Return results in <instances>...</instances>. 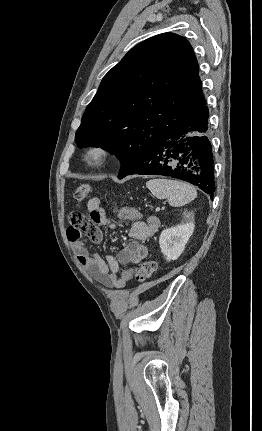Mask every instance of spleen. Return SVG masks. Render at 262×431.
Instances as JSON below:
<instances>
[{
	"instance_id": "spleen-1",
	"label": "spleen",
	"mask_w": 262,
	"mask_h": 431,
	"mask_svg": "<svg viewBox=\"0 0 262 431\" xmlns=\"http://www.w3.org/2000/svg\"><path fill=\"white\" fill-rule=\"evenodd\" d=\"M146 187L159 199H167L171 206H183L197 197V191L188 183L171 179H151Z\"/></svg>"
}]
</instances>
